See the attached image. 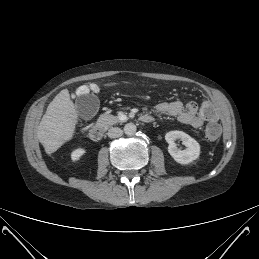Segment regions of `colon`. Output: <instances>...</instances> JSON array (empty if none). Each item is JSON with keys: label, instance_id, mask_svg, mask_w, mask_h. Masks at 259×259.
Wrapping results in <instances>:
<instances>
[{"label": "colon", "instance_id": "colon-1", "mask_svg": "<svg viewBox=\"0 0 259 259\" xmlns=\"http://www.w3.org/2000/svg\"><path fill=\"white\" fill-rule=\"evenodd\" d=\"M97 89L98 88L96 85L81 87L78 89V93L86 94L89 91H96ZM201 112L208 120H210L205 128V137L211 141L218 139L221 134V127L215 120H217L220 116L219 109L215 106H212L209 101L205 100L202 103Z\"/></svg>", "mask_w": 259, "mask_h": 259}]
</instances>
